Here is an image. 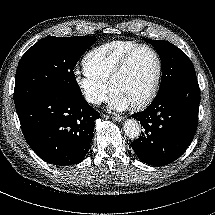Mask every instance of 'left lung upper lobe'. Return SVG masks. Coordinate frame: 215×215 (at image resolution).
Returning <instances> with one entry per match:
<instances>
[{"mask_svg":"<svg viewBox=\"0 0 215 215\" xmlns=\"http://www.w3.org/2000/svg\"><path fill=\"white\" fill-rule=\"evenodd\" d=\"M144 40L154 46L161 59L162 79L159 92L190 77H196L195 69L187 55L167 41Z\"/></svg>","mask_w":215,"mask_h":215,"instance_id":"left-lung-upper-lobe-1","label":"left lung upper lobe"}]
</instances>
